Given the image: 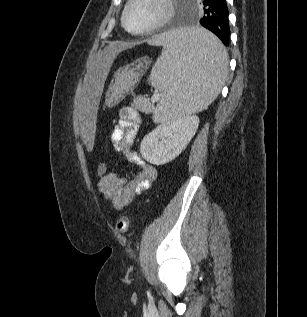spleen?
Listing matches in <instances>:
<instances>
[{
	"instance_id": "3e777b00",
	"label": "spleen",
	"mask_w": 307,
	"mask_h": 317,
	"mask_svg": "<svg viewBox=\"0 0 307 317\" xmlns=\"http://www.w3.org/2000/svg\"><path fill=\"white\" fill-rule=\"evenodd\" d=\"M143 47H163L150 82L164 92L155 122L206 109L220 93L228 73V55L205 26H176L151 33Z\"/></svg>"
}]
</instances>
